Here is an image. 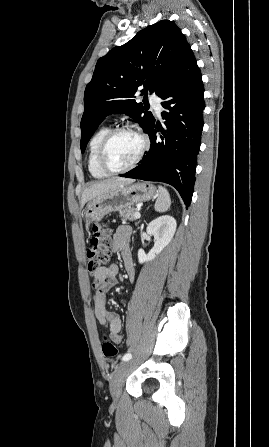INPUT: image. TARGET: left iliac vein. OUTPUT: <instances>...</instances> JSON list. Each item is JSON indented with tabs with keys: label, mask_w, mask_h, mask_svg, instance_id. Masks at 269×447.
Returning <instances> with one entry per match:
<instances>
[{
	"label": "left iliac vein",
	"mask_w": 269,
	"mask_h": 447,
	"mask_svg": "<svg viewBox=\"0 0 269 447\" xmlns=\"http://www.w3.org/2000/svg\"><path fill=\"white\" fill-rule=\"evenodd\" d=\"M131 364L132 360L121 362L112 374L110 380V393L115 402L119 401L122 392V384L129 372Z\"/></svg>",
	"instance_id": "obj_1"
}]
</instances>
